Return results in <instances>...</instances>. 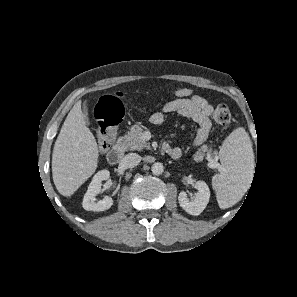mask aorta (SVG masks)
Returning a JSON list of instances; mask_svg holds the SVG:
<instances>
[{
	"instance_id": "762f6f07",
	"label": "aorta",
	"mask_w": 297,
	"mask_h": 297,
	"mask_svg": "<svg viewBox=\"0 0 297 297\" xmlns=\"http://www.w3.org/2000/svg\"><path fill=\"white\" fill-rule=\"evenodd\" d=\"M151 171L154 175H160L164 171V166L160 162H155L151 167Z\"/></svg>"
}]
</instances>
